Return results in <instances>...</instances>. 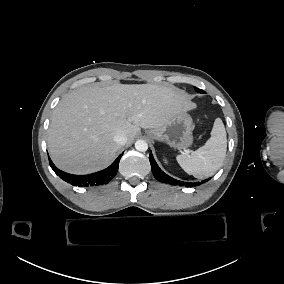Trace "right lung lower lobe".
<instances>
[{"mask_svg":"<svg viewBox=\"0 0 284 284\" xmlns=\"http://www.w3.org/2000/svg\"><path fill=\"white\" fill-rule=\"evenodd\" d=\"M122 155L123 153L108 168L89 175H73L63 172L53 164L50 158L49 163L53 171L64 181L74 186L88 187L107 184L112 180L118 171L119 161Z\"/></svg>","mask_w":284,"mask_h":284,"instance_id":"obj_1","label":"right lung lower lobe"}]
</instances>
